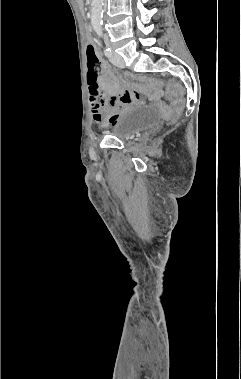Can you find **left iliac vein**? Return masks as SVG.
Here are the masks:
<instances>
[{
    "instance_id": "left-iliac-vein-1",
    "label": "left iliac vein",
    "mask_w": 241,
    "mask_h": 379,
    "mask_svg": "<svg viewBox=\"0 0 241 379\" xmlns=\"http://www.w3.org/2000/svg\"><path fill=\"white\" fill-rule=\"evenodd\" d=\"M110 60L117 67H120V68H124L125 67L124 59L122 58V56H120L117 53H112V55L110 57Z\"/></svg>"
}]
</instances>
